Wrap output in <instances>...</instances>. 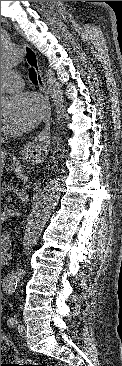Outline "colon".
I'll return each mask as SVG.
<instances>
[{"label":"colon","mask_w":122,"mask_h":366,"mask_svg":"<svg viewBox=\"0 0 122 366\" xmlns=\"http://www.w3.org/2000/svg\"><path fill=\"white\" fill-rule=\"evenodd\" d=\"M1 358L8 361L16 359L14 347L10 341L5 339L1 334ZM6 366H56V365H44L42 363L32 361H19L18 363L6 364Z\"/></svg>","instance_id":"obj_1"}]
</instances>
